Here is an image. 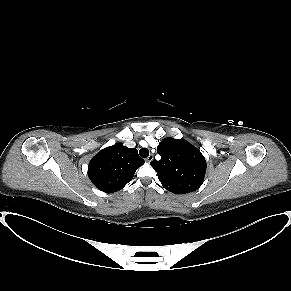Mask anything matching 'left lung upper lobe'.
<instances>
[{
  "label": "left lung upper lobe",
  "instance_id": "obj_1",
  "mask_svg": "<svg viewBox=\"0 0 291 291\" xmlns=\"http://www.w3.org/2000/svg\"><path fill=\"white\" fill-rule=\"evenodd\" d=\"M159 161L150 164L163 187L176 194L197 190L203 183L206 160L195 146L184 139L165 138L158 147Z\"/></svg>",
  "mask_w": 291,
  "mask_h": 291
}]
</instances>
